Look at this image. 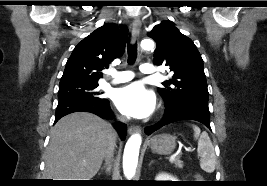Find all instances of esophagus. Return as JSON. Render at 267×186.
Listing matches in <instances>:
<instances>
[{"instance_id": "obj_1", "label": "esophagus", "mask_w": 267, "mask_h": 186, "mask_svg": "<svg viewBox=\"0 0 267 186\" xmlns=\"http://www.w3.org/2000/svg\"><path fill=\"white\" fill-rule=\"evenodd\" d=\"M141 29V20L139 17H135L132 23V36L133 41L135 42L137 36L139 35ZM141 131L139 126H130L128 128V133L131 135L133 133H139Z\"/></svg>"}]
</instances>
